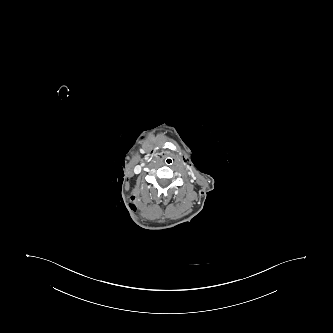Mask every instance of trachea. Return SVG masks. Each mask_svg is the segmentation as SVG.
Masks as SVG:
<instances>
[{"mask_svg": "<svg viewBox=\"0 0 333 333\" xmlns=\"http://www.w3.org/2000/svg\"><path fill=\"white\" fill-rule=\"evenodd\" d=\"M161 163H162L165 167H170V166L174 163V158H173L170 154H165V155L161 158Z\"/></svg>", "mask_w": 333, "mask_h": 333, "instance_id": "obj_1", "label": "trachea"}]
</instances>
